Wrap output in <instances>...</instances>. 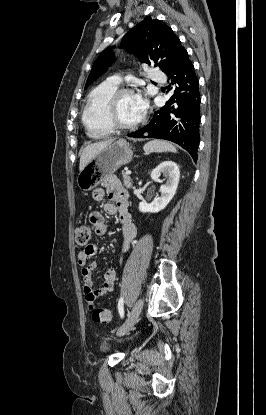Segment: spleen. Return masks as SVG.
I'll return each mask as SVG.
<instances>
[{
    "mask_svg": "<svg viewBox=\"0 0 266 415\" xmlns=\"http://www.w3.org/2000/svg\"><path fill=\"white\" fill-rule=\"evenodd\" d=\"M144 151L149 153H162V152H173L176 153L177 149L169 142L153 140L146 143L143 146Z\"/></svg>",
    "mask_w": 266,
    "mask_h": 415,
    "instance_id": "obj_1",
    "label": "spleen"
}]
</instances>
